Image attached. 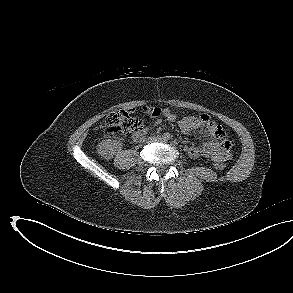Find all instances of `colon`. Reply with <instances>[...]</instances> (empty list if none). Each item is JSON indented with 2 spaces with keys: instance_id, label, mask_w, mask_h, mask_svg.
I'll list each match as a JSON object with an SVG mask.
<instances>
[{
  "instance_id": "1",
  "label": "colon",
  "mask_w": 293,
  "mask_h": 293,
  "mask_svg": "<svg viewBox=\"0 0 293 293\" xmlns=\"http://www.w3.org/2000/svg\"><path fill=\"white\" fill-rule=\"evenodd\" d=\"M141 127V120L126 111L110 113L101 126L108 134H123L125 136H132L135 132L140 130ZM214 167L218 170H224L226 164L217 161L214 163Z\"/></svg>"
}]
</instances>
